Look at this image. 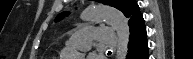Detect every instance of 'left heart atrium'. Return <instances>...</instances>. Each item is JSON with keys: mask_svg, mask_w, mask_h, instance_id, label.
<instances>
[{"mask_svg": "<svg viewBox=\"0 0 193 59\" xmlns=\"http://www.w3.org/2000/svg\"><path fill=\"white\" fill-rule=\"evenodd\" d=\"M87 59H99L95 54H91L87 57Z\"/></svg>", "mask_w": 193, "mask_h": 59, "instance_id": "obj_1", "label": "left heart atrium"}]
</instances>
